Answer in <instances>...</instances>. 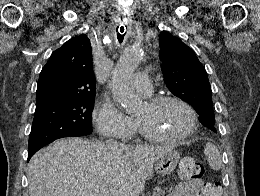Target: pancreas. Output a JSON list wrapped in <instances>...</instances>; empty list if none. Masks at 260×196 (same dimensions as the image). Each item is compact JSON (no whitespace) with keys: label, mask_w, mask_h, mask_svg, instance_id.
<instances>
[{"label":"pancreas","mask_w":260,"mask_h":196,"mask_svg":"<svg viewBox=\"0 0 260 196\" xmlns=\"http://www.w3.org/2000/svg\"><path fill=\"white\" fill-rule=\"evenodd\" d=\"M165 190H167V188H154L152 196H165Z\"/></svg>","instance_id":"1"}]
</instances>
